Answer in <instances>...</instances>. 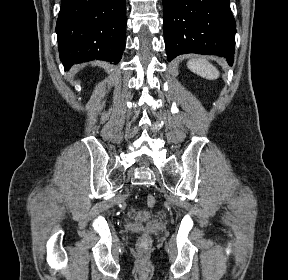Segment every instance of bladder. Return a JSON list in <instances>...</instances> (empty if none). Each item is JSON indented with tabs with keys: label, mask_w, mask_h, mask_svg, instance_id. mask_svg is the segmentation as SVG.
Instances as JSON below:
<instances>
[{
	"label": "bladder",
	"mask_w": 288,
	"mask_h": 280,
	"mask_svg": "<svg viewBox=\"0 0 288 280\" xmlns=\"http://www.w3.org/2000/svg\"><path fill=\"white\" fill-rule=\"evenodd\" d=\"M151 213L149 211H146V210H142V211H139L137 213V216L136 218L140 221H146V220H149L151 218Z\"/></svg>",
	"instance_id": "obj_1"
}]
</instances>
